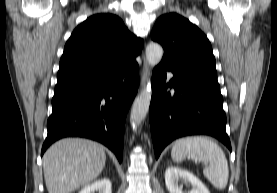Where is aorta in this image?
Returning a JSON list of instances; mask_svg holds the SVG:
<instances>
[{
  "label": "aorta",
  "instance_id": "aorta-1",
  "mask_svg": "<svg viewBox=\"0 0 277 193\" xmlns=\"http://www.w3.org/2000/svg\"><path fill=\"white\" fill-rule=\"evenodd\" d=\"M163 57V48L157 43H149L146 47V58L151 66H156L160 63ZM151 85L148 82L140 94L136 97L130 115L131 125L134 129L139 127L146 118L149 111L151 101Z\"/></svg>",
  "mask_w": 277,
  "mask_h": 193
}]
</instances>
